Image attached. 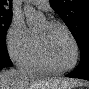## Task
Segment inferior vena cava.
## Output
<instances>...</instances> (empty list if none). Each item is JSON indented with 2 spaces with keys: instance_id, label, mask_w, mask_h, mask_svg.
<instances>
[{
  "instance_id": "1",
  "label": "inferior vena cava",
  "mask_w": 89,
  "mask_h": 89,
  "mask_svg": "<svg viewBox=\"0 0 89 89\" xmlns=\"http://www.w3.org/2000/svg\"><path fill=\"white\" fill-rule=\"evenodd\" d=\"M10 71L13 72V73H18V71L15 70L14 68H11Z\"/></svg>"
}]
</instances>
